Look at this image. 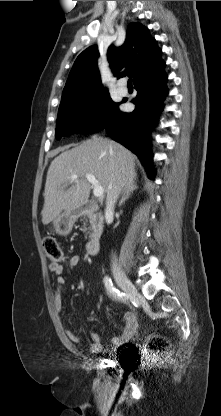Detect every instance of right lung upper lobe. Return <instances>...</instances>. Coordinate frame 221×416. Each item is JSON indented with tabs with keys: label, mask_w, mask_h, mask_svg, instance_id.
I'll return each instance as SVG.
<instances>
[{
	"label": "right lung upper lobe",
	"mask_w": 221,
	"mask_h": 416,
	"mask_svg": "<svg viewBox=\"0 0 221 416\" xmlns=\"http://www.w3.org/2000/svg\"><path fill=\"white\" fill-rule=\"evenodd\" d=\"M162 51L157 47L147 29L139 23H131L121 47H109L107 58L114 75L127 67L124 72L134 78V83L165 67L161 59ZM99 55L96 46L84 50L74 62L65 85L61 103L75 101L107 92L103 88L97 66ZM123 74V73H122Z\"/></svg>",
	"instance_id": "obj_1"
}]
</instances>
